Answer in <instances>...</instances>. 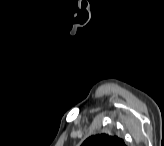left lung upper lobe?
Here are the masks:
<instances>
[{"label": "left lung upper lobe", "mask_w": 164, "mask_h": 146, "mask_svg": "<svg viewBox=\"0 0 164 146\" xmlns=\"http://www.w3.org/2000/svg\"><path fill=\"white\" fill-rule=\"evenodd\" d=\"M82 146H125V144L117 136L98 134L86 139Z\"/></svg>", "instance_id": "left-lung-upper-lobe-1"}]
</instances>
